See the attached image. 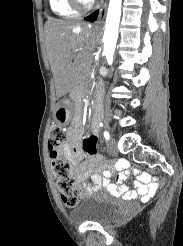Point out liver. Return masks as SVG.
<instances>
[{
  "label": "liver",
  "instance_id": "1",
  "mask_svg": "<svg viewBox=\"0 0 183 246\" xmlns=\"http://www.w3.org/2000/svg\"><path fill=\"white\" fill-rule=\"evenodd\" d=\"M95 34L87 24L51 19L46 25V49L58 98L65 95L89 67Z\"/></svg>",
  "mask_w": 183,
  "mask_h": 246
}]
</instances>
